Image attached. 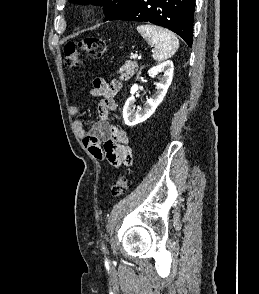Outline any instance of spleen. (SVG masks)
Masks as SVG:
<instances>
[{
    "instance_id": "1",
    "label": "spleen",
    "mask_w": 259,
    "mask_h": 294,
    "mask_svg": "<svg viewBox=\"0 0 259 294\" xmlns=\"http://www.w3.org/2000/svg\"><path fill=\"white\" fill-rule=\"evenodd\" d=\"M137 31L154 47L152 57L155 61H163L172 57L179 47L177 37L169 30L155 25H139Z\"/></svg>"
}]
</instances>
